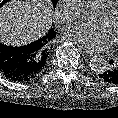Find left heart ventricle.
Wrapping results in <instances>:
<instances>
[{"label": "left heart ventricle", "instance_id": "left-heart-ventricle-1", "mask_svg": "<svg viewBox=\"0 0 118 118\" xmlns=\"http://www.w3.org/2000/svg\"><path fill=\"white\" fill-rule=\"evenodd\" d=\"M96 22L100 25L105 26L107 31L112 37L113 43L118 42V13H116L112 18H104L100 15Z\"/></svg>", "mask_w": 118, "mask_h": 118}]
</instances>
